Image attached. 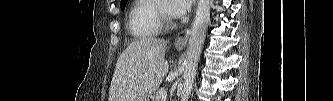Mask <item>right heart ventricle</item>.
<instances>
[{
    "label": "right heart ventricle",
    "mask_w": 333,
    "mask_h": 101,
    "mask_svg": "<svg viewBox=\"0 0 333 101\" xmlns=\"http://www.w3.org/2000/svg\"><path fill=\"white\" fill-rule=\"evenodd\" d=\"M157 0H137L132 7L128 28L137 40H146L157 36L162 29L158 16Z\"/></svg>",
    "instance_id": "1"
}]
</instances>
